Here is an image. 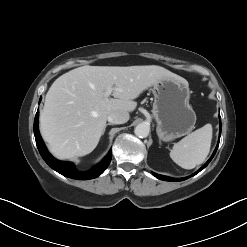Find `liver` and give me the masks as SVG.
<instances>
[{"instance_id": "liver-1", "label": "liver", "mask_w": 247, "mask_h": 247, "mask_svg": "<svg viewBox=\"0 0 247 247\" xmlns=\"http://www.w3.org/2000/svg\"><path fill=\"white\" fill-rule=\"evenodd\" d=\"M164 77L180 76L156 65H86L61 75L48 90L40 114V131L50 152L59 159L91 153L109 114L134 111L133 100ZM108 87L114 98L105 95Z\"/></svg>"}]
</instances>
